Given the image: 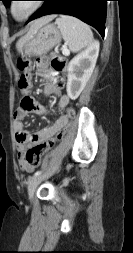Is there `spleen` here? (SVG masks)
Listing matches in <instances>:
<instances>
[{"instance_id":"spleen-1","label":"spleen","mask_w":133,"mask_h":253,"mask_svg":"<svg viewBox=\"0 0 133 253\" xmlns=\"http://www.w3.org/2000/svg\"><path fill=\"white\" fill-rule=\"evenodd\" d=\"M56 24L65 44L73 53H77L93 43V33L90 27L79 19L61 15L56 19Z\"/></svg>"}]
</instances>
